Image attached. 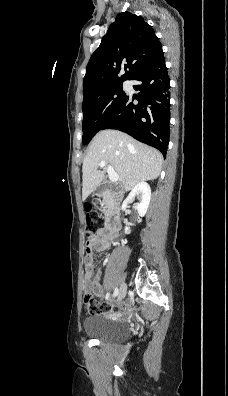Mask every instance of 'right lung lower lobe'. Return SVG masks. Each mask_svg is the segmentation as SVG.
Segmentation results:
<instances>
[{"instance_id":"98d812e1","label":"right lung lower lobe","mask_w":228,"mask_h":396,"mask_svg":"<svg viewBox=\"0 0 228 396\" xmlns=\"http://www.w3.org/2000/svg\"><path fill=\"white\" fill-rule=\"evenodd\" d=\"M140 83L133 86L139 91L133 99L127 95L114 114L103 124V129H118L135 139L157 148L164 155L169 142L170 79L165 66L162 46L132 79Z\"/></svg>"}]
</instances>
